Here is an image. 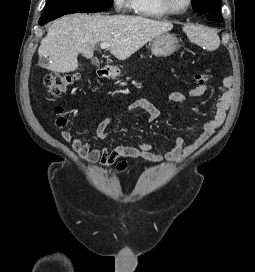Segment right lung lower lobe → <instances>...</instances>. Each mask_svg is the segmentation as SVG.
Here are the masks:
<instances>
[{"instance_id":"98d812e1","label":"right lung lower lobe","mask_w":255,"mask_h":272,"mask_svg":"<svg viewBox=\"0 0 255 272\" xmlns=\"http://www.w3.org/2000/svg\"><path fill=\"white\" fill-rule=\"evenodd\" d=\"M64 14H55V15H47V16H43L40 20H39V24L40 25H44L45 23L54 20L56 18H59L61 16H63Z\"/></svg>"}]
</instances>
